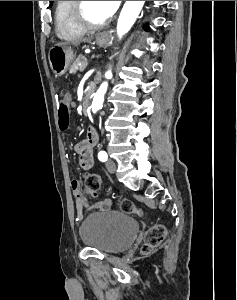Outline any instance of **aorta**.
<instances>
[{
	"label": "aorta",
	"mask_w": 237,
	"mask_h": 300,
	"mask_svg": "<svg viewBox=\"0 0 237 300\" xmlns=\"http://www.w3.org/2000/svg\"><path fill=\"white\" fill-rule=\"evenodd\" d=\"M144 3L145 1H126L117 23V35L119 39H122L123 35H126L131 27H133ZM105 77H112L111 71H107ZM107 87L108 83H102L97 93H95L91 105L92 113H97L99 109H102Z\"/></svg>",
	"instance_id": "obj_1"
}]
</instances>
